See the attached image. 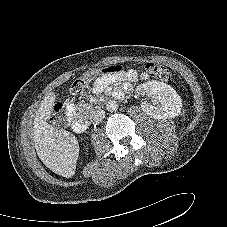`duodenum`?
Listing matches in <instances>:
<instances>
[{"label": "duodenum", "mask_w": 227, "mask_h": 227, "mask_svg": "<svg viewBox=\"0 0 227 227\" xmlns=\"http://www.w3.org/2000/svg\"><path fill=\"white\" fill-rule=\"evenodd\" d=\"M67 117L72 123V127L76 132H84L89 127V122L83 116L76 114L74 107H69Z\"/></svg>", "instance_id": "1"}]
</instances>
